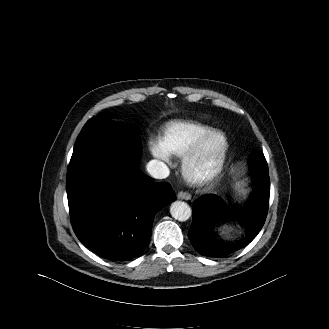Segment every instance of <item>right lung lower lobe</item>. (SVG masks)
Returning a JSON list of instances; mask_svg holds the SVG:
<instances>
[{
    "mask_svg": "<svg viewBox=\"0 0 329 329\" xmlns=\"http://www.w3.org/2000/svg\"><path fill=\"white\" fill-rule=\"evenodd\" d=\"M73 230L99 256L124 261L147 246L155 214L175 200L168 183H155L138 161L103 153L67 170Z\"/></svg>",
    "mask_w": 329,
    "mask_h": 329,
    "instance_id": "1",
    "label": "right lung lower lobe"
}]
</instances>
